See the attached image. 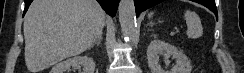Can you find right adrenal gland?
Masks as SVG:
<instances>
[{
  "label": "right adrenal gland",
  "instance_id": "2a0ac1e0",
  "mask_svg": "<svg viewBox=\"0 0 244 73\" xmlns=\"http://www.w3.org/2000/svg\"><path fill=\"white\" fill-rule=\"evenodd\" d=\"M101 41H102V35H100V36L96 39V41L89 47V49H91V48L94 47L95 45L99 46L100 43H101Z\"/></svg>",
  "mask_w": 244,
  "mask_h": 73
}]
</instances>
